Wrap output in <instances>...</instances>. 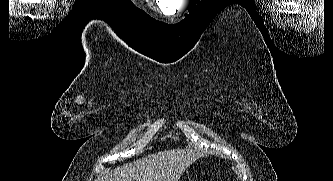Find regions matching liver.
<instances>
[{
	"mask_svg": "<svg viewBox=\"0 0 333 181\" xmlns=\"http://www.w3.org/2000/svg\"><path fill=\"white\" fill-rule=\"evenodd\" d=\"M203 154L192 149H172L119 166L103 181H179L185 170Z\"/></svg>",
	"mask_w": 333,
	"mask_h": 181,
	"instance_id": "liver-1",
	"label": "liver"
}]
</instances>
